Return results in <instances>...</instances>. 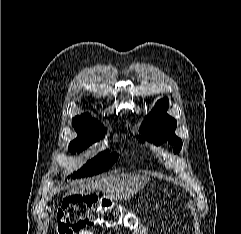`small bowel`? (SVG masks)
<instances>
[{"instance_id": "1", "label": "small bowel", "mask_w": 241, "mask_h": 234, "mask_svg": "<svg viewBox=\"0 0 241 234\" xmlns=\"http://www.w3.org/2000/svg\"><path fill=\"white\" fill-rule=\"evenodd\" d=\"M79 234H93L91 231L88 230H82L79 232Z\"/></svg>"}]
</instances>
